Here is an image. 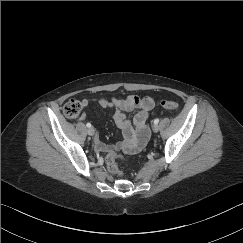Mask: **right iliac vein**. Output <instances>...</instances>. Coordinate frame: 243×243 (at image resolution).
<instances>
[{
    "label": "right iliac vein",
    "mask_w": 243,
    "mask_h": 243,
    "mask_svg": "<svg viewBox=\"0 0 243 243\" xmlns=\"http://www.w3.org/2000/svg\"><path fill=\"white\" fill-rule=\"evenodd\" d=\"M87 133H88V135L93 136L95 134V129L94 128H89Z\"/></svg>",
    "instance_id": "right-iliac-vein-1"
}]
</instances>
